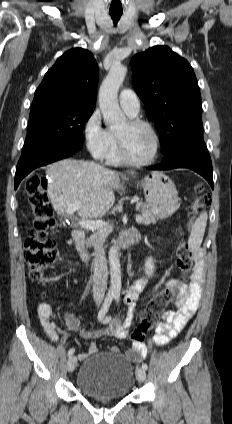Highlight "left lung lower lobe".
I'll return each instance as SVG.
<instances>
[{
  "mask_svg": "<svg viewBox=\"0 0 232 424\" xmlns=\"http://www.w3.org/2000/svg\"><path fill=\"white\" fill-rule=\"evenodd\" d=\"M150 168L153 170L189 168L202 175L211 188H214L211 158L203 140L202 129L182 136L165 154L164 161Z\"/></svg>",
  "mask_w": 232,
  "mask_h": 424,
  "instance_id": "obj_1",
  "label": "left lung lower lobe"
}]
</instances>
